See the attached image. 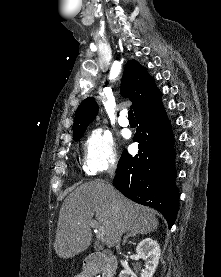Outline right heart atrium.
<instances>
[{"instance_id": "d8ad5b80", "label": "right heart atrium", "mask_w": 221, "mask_h": 277, "mask_svg": "<svg viewBox=\"0 0 221 277\" xmlns=\"http://www.w3.org/2000/svg\"><path fill=\"white\" fill-rule=\"evenodd\" d=\"M117 163L112 135L103 128L93 129L85 142L83 169L88 175L111 169Z\"/></svg>"}]
</instances>
